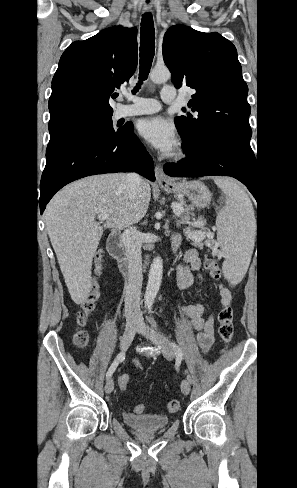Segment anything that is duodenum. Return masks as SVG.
<instances>
[{
	"label": "duodenum",
	"instance_id": "1",
	"mask_svg": "<svg viewBox=\"0 0 297 488\" xmlns=\"http://www.w3.org/2000/svg\"><path fill=\"white\" fill-rule=\"evenodd\" d=\"M107 248L110 255L117 261L118 267L125 275L130 273V267L121 242V233L112 232L107 241Z\"/></svg>",
	"mask_w": 297,
	"mask_h": 488
}]
</instances>
